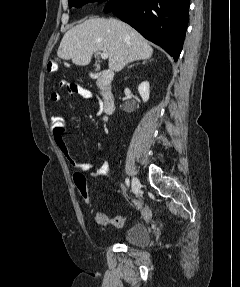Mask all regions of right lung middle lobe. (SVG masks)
<instances>
[{"mask_svg":"<svg viewBox=\"0 0 240 287\" xmlns=\"http://www.w3.org/2000/svg\"><path fill=\"white\" fill-rule=\"evenodd\" d=\"M95 0H69V5L70 7L75 6V7H80L86 2H94ZM97 1H106V0H97Z\"/></svg>","mask_w":240,"mask_h":287,"instance_id":"obj_1","label":"right lung middle lobe"}]
</instances>
